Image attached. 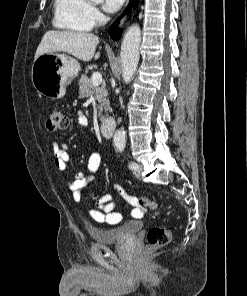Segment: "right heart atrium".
<instances>
[{"label": "right heart atrium", "instance_id": "obj_1", "mask_svg": "<svg viewBox=\"0 0 247 296\" xmlns=\"http://www.w3.org/2000/svg\"><path fill=\"white\" fill-rule=\"evenodd\" d=\"M87 15L92 25H98L103 20V15L100 10L93 4L88 5Z\"/></svg>", "mask_w": 247, "mask_h": 296}]
</instances>
